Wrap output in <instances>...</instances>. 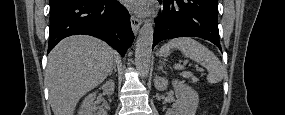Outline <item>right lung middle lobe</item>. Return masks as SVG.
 <instances>
[{"label": "right lung middle lobe", "mask_w": 285, "mask_h": 115, "mask_svg": "<svg viewBox=\"0 0 285 115\" xmlns=\"http://www.w3.org/2000/svg\"><path fill=\"white\" fill-rule=\"evenodd\" d=\"M55 0H50V3L54 2Z\"/></svg>", "instance_id": "1"}]
</instances>
